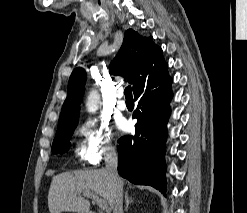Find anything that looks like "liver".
Instances as JSON below:
<instances>
[{
	"mask_svg": "<svg viewBox=\"0 0 247 213\" xmlns=\"http://www.w3.org/2000/svg\"><path fill=\"white\" fill-rule=\"evenodd\" d=\"M120 181L123 185V180ZM114 190L115 184L106 169L64 172L52 178L48 193V208L50 213H88L90 201L82 196L86 193L101 196L112 208Z\"/></svg>",
	"mask_w": 247,
	"mask_h": 213,
	"instance_id": "6515ba94",
	"label": "liver"
}]
</instances>
